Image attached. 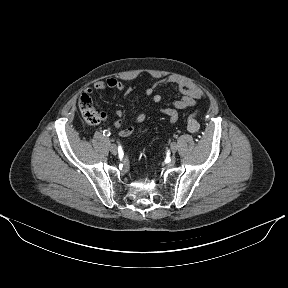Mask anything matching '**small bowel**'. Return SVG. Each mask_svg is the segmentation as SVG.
<instances>
[{
  "mask_svg": "<svg viewBox=\"0 0 288 288\" xmlns=\"http://www.w3.org/2000/svg\"><path fill=\"white\" fill-rule=\"evenodd\" d=\"M165 86H173L180 93V96L175 99L170 106L161 108V112L168 117L170 123H175L178 120L179 112L196 106L198 102L204 98L203 91L194 82L175 75H170L157 80L146 89L145 94L151 96L154 103H160L162 101V95L158 90ZM105 89H113L122 92L125 100H129L133 97L132 86H126L115 78H108L95 82L93 88L86 89V95H91L94 90L102 91ZM114 113L117 118L113 121V125L118 129L119 136L124 138L131 136L135 132V127L133 125L124 127V112L120 109H116ZM101 114L102 120L107 118V113L103 112ZM146 118V113L142 112L132 119L131 122L133 124H140L143 123Z\"/></svg>",
  "mask_w": 288,
  "mask_h": 288,
  "instance_id": "1",
  "label": "small bowel"
}]
</instances>
